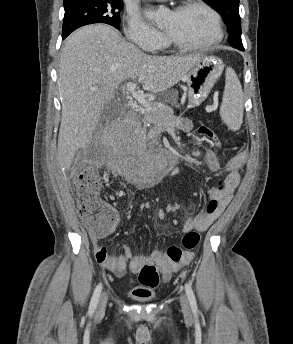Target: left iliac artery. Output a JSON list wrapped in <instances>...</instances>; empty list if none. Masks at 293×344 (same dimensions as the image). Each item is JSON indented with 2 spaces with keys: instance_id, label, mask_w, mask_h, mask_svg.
<instances>
[{
  "instance_id": "44dca946",
  "label": "left iliac artery",
  "mask_w": 293,
  "mask_h": 344,
  "mask_svg": "<svg viewBox=\"0 0 293 344\" xmlns=\"http://www.w3.org/2000/svg\"><path fill=\"white\" fill-rule=\"evenodd\" d=\"M185 291H186L188 300L190 302V306H191L192 312L195 315H197L198 310H197L196 299H195V295H194V292L192 290V287H191V285L189 283L185 284Z\"/></svg>"
}]
</instances>
